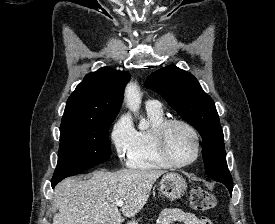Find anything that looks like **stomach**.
Here are the masks:
<instances>
[{
	"mask_svg": "<svg viewBox=\"0 0 275 224\" xmlns=\"http://www.w3.org/2000/svg\"><path fill=\"white\" fill-rule=\"evenodd\" d=\"M159 189L163 196L170 200L180 198L187 189L186 180L177 173H167L159 183ZM129 224H137L131 222Z\"/></svg>",
	"mask_w": 275,
	"mask_h": 224,
	"instance_id": "1",
	"label": "stomach"
}]
</instances>
